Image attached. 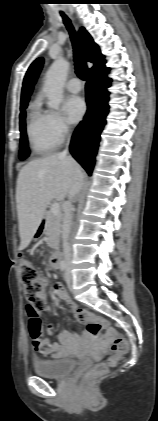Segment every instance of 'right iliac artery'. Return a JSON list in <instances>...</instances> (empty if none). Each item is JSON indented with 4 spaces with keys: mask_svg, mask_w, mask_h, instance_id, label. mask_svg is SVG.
<instances>
[{
    "mask_svg": "<svg viewBox=\"0 0 158 421\" xmlns=\"http://www.w3.org/2000/svg\"><path fill=\"white\" fill-rule=\"evenodd\" d=\"M66 267H67V263L65 261H62L61 264H60L61 271H64L66 269Z\"/></svg>",
    "mask_w": 158,
    "mask_h": 421,
    "instance_id": "obj_1",
    "label": "right iliac artery"
}]
</instances>
